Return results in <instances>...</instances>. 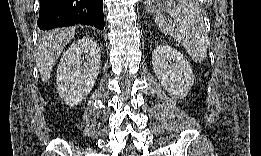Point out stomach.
<instances>
[{
	"instance_id": "0dacf381",
	"label": "stomach",
	"mask_w": 261,
	"mask_h": 156,
	"mask_svg": "<svg viewBox=\"0 0 261 156\" xmlns=\"http://www.w3.org/2000/svg\"><path fill=\"white\" fill-rule=\"evenodd\" d=\"M148 10H149L150 12H155V11H157V8H156L155 5H153V3H149V5H148Z\"/></svg>"
}]
</instances>
